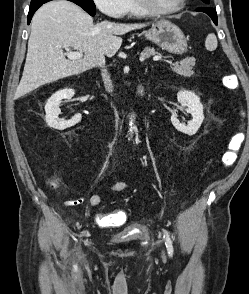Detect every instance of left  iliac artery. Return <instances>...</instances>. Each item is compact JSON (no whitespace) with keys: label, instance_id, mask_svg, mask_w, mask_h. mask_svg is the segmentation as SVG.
Segmentation results:
<instances>
[{"label":"left iliac artery","instance_id":"1","mask_svg":"<svg viewBox=\"0 0 249 294\" xmlns=\"http://www.w3.org/2000/svg\"><path fill=\"white\" fill-rule=\"evenodd\" d=\"M163 231H164L165 245H166L168 254H169L170 257H172V255H173V245H172V241L170 239V235H169L167 230H163Z\"/></svg>","mask_w":249,"mask_h":294}]
</instances>
